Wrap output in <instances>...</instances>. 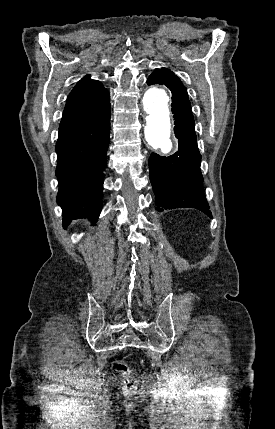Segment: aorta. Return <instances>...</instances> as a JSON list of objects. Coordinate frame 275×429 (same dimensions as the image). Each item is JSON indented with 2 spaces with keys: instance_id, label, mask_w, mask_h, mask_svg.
Instances as JSON below:
<instances>
[{
  "instance_id": "obj_1",
  "label": "aorta",
  "mask_w": 275,
  "mask_h": 429,
  "mask_svg": "<svg viewBox=\"0 0 275 429\" xmlns=\"http://www.w3.org/2000/svg\"><path fill=\"white\" fill-rule=\"evenodd\" d=\"M169 94L161 85H152L144 93L143 108L146 112L145 138L154 149L168 153L172 149V122Z\"/></svg>"
}]
</instances>
